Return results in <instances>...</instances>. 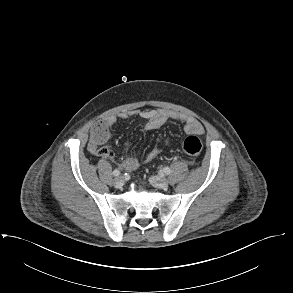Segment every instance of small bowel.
<instances>
[{
	"mask_svg": "<svg viewBox=\"0 0 293 293\" xmlns=\"http://www.w3.org/2000/svg\"><path fill=\"white\" fill-rule=\"evenodd\" d=\"M131 117H140L146 121L145 128L147 130L158 129L163 126L168 121H178L184 125L186 133L192 135H202L204 134V128L201 123L195 118L185 115L183 113H178L174 111H168L164 109H146V110H130L123 111L116 115H107L103 118L102 124L105 127H110L113 125L117 119H128ZM159 154L158 148H153L148 152L145 157V162H151ZM105 158L114 160V153L108 149L107 152L103 154ZM120 165L128 170L134 171L139 167V161L135 158L124 159Z\"/></svg>",
	"mask_w": 293,
	"mask_h": 293,
	"instance_id": "small-bowel-1",
	"label": "small bowel"
}]
</instances>
